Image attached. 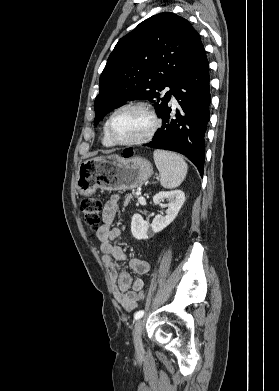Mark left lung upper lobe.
Segmentation results:
<instances>
[{"instance_id":"left-lung-upper-lobe-1","label":"left lung upper lobe","mask_w":279,"mask_h":391,"mask_svg":"<svg viewBox=\"0 0 279 391\" xmlns=\"http://www.w3.org/2000/svg\"><path fill=\"white\" fill-rule=\"evenodd\" d=\"M198 32L184 18L164 12L140 23L116 44L100 76L94 125L124 102L145 99L156 114L203 49ZM170 87L165 95L160 92Z\"/></svg>"}]
</instances>
